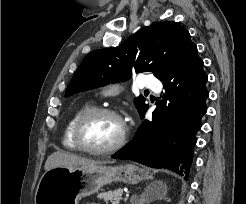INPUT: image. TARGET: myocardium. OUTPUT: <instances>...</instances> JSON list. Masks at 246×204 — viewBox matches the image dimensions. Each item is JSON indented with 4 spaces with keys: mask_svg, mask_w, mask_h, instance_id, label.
I'll return each mask as SVG.
<instances>
[{
    "mask_svg": "<svg viewBox=\"0 0 246 204\" xmlns=\"http://www.w3.org/2000/svg\"><path fill=\"white\" fill-rule=\"evenodd\" d=\"M97 115L112 116L115 119H117L121 125V133L117 141L111 146L101 149L87 147L86 145H84L81 137L82 130L86 122L90 120L92 117ZM127 138H128V127L124 119L117 111L107 107H93L87 110L86 112H84L77 120L73 130V140L77 148L83 152L94 154V155H106L119 150L125 145Z\"/></svg>",
    "mask_w": 246,
    "mask_h": 204,
    "instance_id": "1",
    "label": "myocardium"
}]
</instances>
